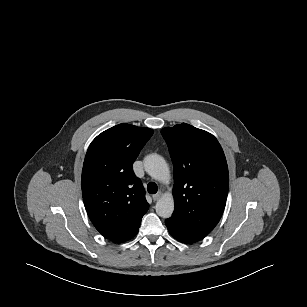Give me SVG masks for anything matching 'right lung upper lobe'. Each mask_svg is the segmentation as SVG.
Returning a JSON list of instances; mask_svg holds the SVG:
<instances>
[{"label":"right lung upper lobe","mask_w":307,"mask_h":307,"mask_svg":"<svg viewBox=\"0 0 307 307\" xmlns=\"http://www.w3.org/2000/svg\"><path fill=\"white\" fill-rule=\"evenodd\" d=\"M153 134L150 128L116 125L90 144L82 170V194L95 228L113 242L133 238L149 204L132 170L140 150Z\"/></svg>","instance_id":"obj_1"}]
</instances>
